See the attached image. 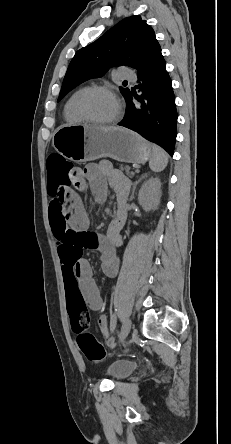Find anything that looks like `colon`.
<instances>
[{
    "label": "colon",
    "instance_id": "colon-1",
    "mask_svg": "<svg viewBox=\"0 0 231 444\" xmlns=\"http://www.w3.org/2000/svg\"><path fill=\"white\" fill-rule=\"evenodd\" d=\"M48 192L53 199L59 200L69 187L72 177L79 170L61 155L52 154L47 159ZM67 305L70 323L77 335L80 350L91 362H101L105 358V348L89 330L90 315L83 297L76 291L67 292Z\"/></svg>",
    "mask_w": 231,
    "mask_h": 444
}]
</instances>
